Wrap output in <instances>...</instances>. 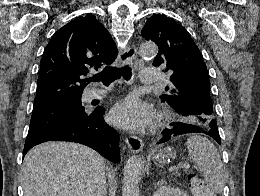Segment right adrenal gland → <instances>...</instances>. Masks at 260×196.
I'll return each instance as SVG.
<instances>
[{
    "label": "right adrenal gland",
    "mask_w": 260,
    "mask_h": 196,
    "mask_svg": "<svg viewBox=\"0 0 260 196\" xmlns=\"http://www.w3.org/2000/svg\"><path fill=\"white\" fill-rule=\"evenodd\" d=\"M106 188H108V186H105V192H104L103 196H107V190H106Z\"/></svg>",
    "instance_id": "1"
}]
</instances>
